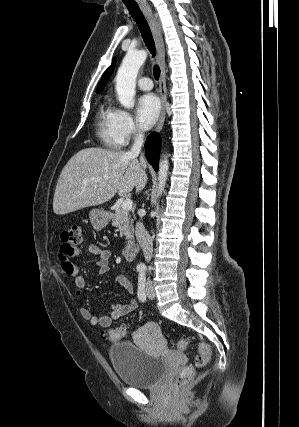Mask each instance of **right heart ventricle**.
<instances>
[{
  "label": "right heart ventricle",
  "mask_w": 299,
  "mask_h": 427,
  "mask_svg": "<svg viewBox=\"0 0 299 427\" xmlns=\"http://www.w3.org/2000/svg\"><path fill=\"white\" fill-rule=\"evenodd\" d=\"M115 115L116 109L111 106L108 99H105L97 113V135L101 142L111 149L120 146L115 131Z\"/></svg>",
  "instance_id": "obj_1"
}]
</instances>
